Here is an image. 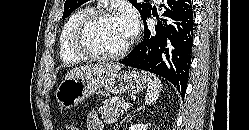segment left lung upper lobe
<instances>
[{
	"label": "left lung upper lobe",
	"mask_w": 249,
	"mask_h": 130,
	"mask_svg": "<svg viewBox=\"0 0 249 130\" xmlns=\"http://www.w3.org/2000/svg\"><path fill=\"white\" fill-rule=\"evenodd\" d=\"M87 0H66L64 4V13L62 18L67 17L72 11L84 4ZM140 12L142 19H144L152 10L151 4L138 3L136 0H129Z\"/></svg>",
	"instance_id": "5c2ea615"
}]
</instances>
